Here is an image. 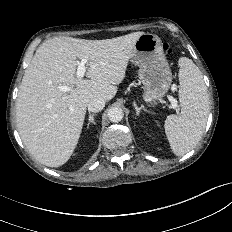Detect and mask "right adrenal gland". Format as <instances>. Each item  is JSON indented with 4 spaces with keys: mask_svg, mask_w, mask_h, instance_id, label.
<instances>
[{
    "mask_svg": "<svg viewBox=\"0 0 232 232\" xmlns=\"http://www.w3.org/2000/svg\"><path fill=\"white\" fill-rule=\"evenodd\" d=\"M96 116V114H90L89 115V119H88V124H87V129L89 128L90 124H94L95 125V122H94V117Z\"/></svg>",
    "mask_w": 232,
    "mask_h": 232,
    "instance_id": "1",
    "label": "right adrenal gland"
}]
</instances>
